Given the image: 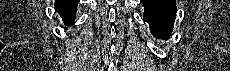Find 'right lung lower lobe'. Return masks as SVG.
Here are the masks:
<instances>
[{"label": "right lung lower lobe", "instance_id": "98d812e1", "mask_svg": "<svg viewBox=\"0 0 230 71\" xmlns=\"http://www.w3.org/2000/svg\"><path fill=\"white\" fill-rule=\"evenodd\" d=\"M78 2L79 0H55V9L66 25L74 22Z\"/></svg>", "mask_w": 230, "mask_h": 71}]
</instances>
